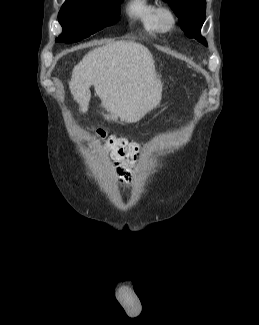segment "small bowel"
Segmentation results:
<instances>
[{
    "mask_svg": "<svg viewBox=\"0 0 259 325\" xmlns=\"http://www.w3.org/2000/svg\"><path fill=\"white\" fill-rule=\"evenodd\" d=\"M114 166L117 180L126 190V185L132 180L133 173L136 169V162L118 160Z\"/></svg>",
    "mask_w": 259,
    "mask_h": 325,
    "instance_id": "c3829d8e",
    "label": "small bowel"
}]
</instances>
